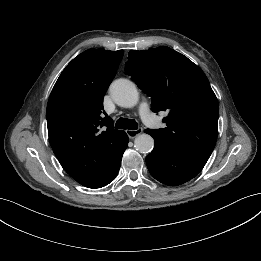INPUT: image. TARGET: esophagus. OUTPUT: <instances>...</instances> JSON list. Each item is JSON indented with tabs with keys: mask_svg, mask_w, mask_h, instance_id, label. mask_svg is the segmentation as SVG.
<instances>
[{
	"mask_svg": "<svg viewBox=\"0 0 261 261\" xmlns=\"http://www.w3.org/2000/svg\"><path fill=\"white\" fill-rule=\"evenodd\" d=\"M143 132L142 128H138L136 130H127L126 133L130 139H134L139 136Z\"/></svg>",
	"mask_w": 261,
	"mask_h": 261,
	"instance_id": "obj_1",
	"label": "esophagus"
}]
</instances>
